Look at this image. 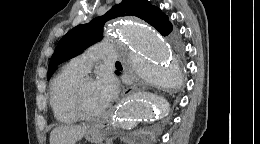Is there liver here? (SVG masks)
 I'll return each mask as SVG.
<instances>
[{
	"label": "liver",
	"instance_id": "liver-1",
	"mask_svg": "<svg viewBox=\"0 0 260 144\" xmlns=\"http://www.w3.org/2000/svg\"><path fill=\"white\" fill-rule=\"evenodd\" d=\"M87 125H62L50 133V144H76L87 132Z\"/></svg>",
	"mask_w": 260,
	"mask_h": 144
}]
</instances>
